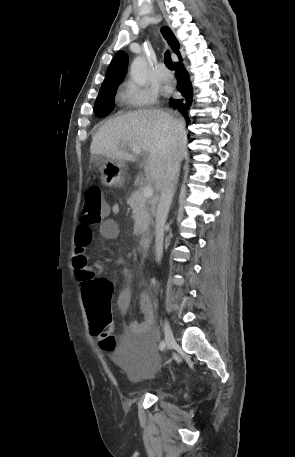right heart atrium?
Here are the masks:
<instances>
[{
  "label": "right heart atrium",
  "instance_id": "right-heart-atrium-1",
  "mask_svg": "<svg viewBox=\"0 0 295 457\" xmlns=\"http://www.w3.org/2000/svg\"><path fill=\"white\" fill-rule=\"evenodd\" d=\"M122 99L130 108H142L155 104L157 92L151 88L141 87L133 82H126L122 89Z\"/></svg>",
  "mask_w": 295,
  "mask_h": 457
}]
</instances>
